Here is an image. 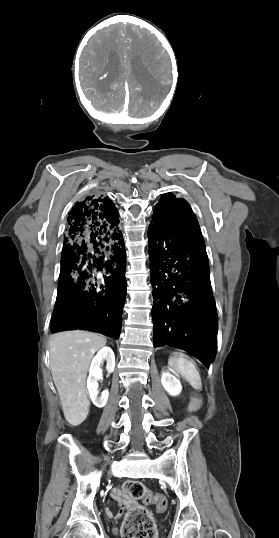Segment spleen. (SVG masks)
I'll use <instances>...</instances> for the list:
<instances>
[{"instance_id": "3e777b00", "label": "spleen", "mask_w": 279, "mask_h": 538, "mask_svg": "<svg viewBox=\"0 0 279 538\" xmlns=\"http://www.w3.org/2000/svg\"><path fill=\"white\" fill-rule=\"evenodd\" d=\"M168 366L169 368H172L174 372L181 374L186 380H189L190 386L194 388L196 394L201 392L199 386L202 384V379H200L199 372H197L192 360H188L185 354L174 352L168 360Z\"/></svg>"}]
</instances>
